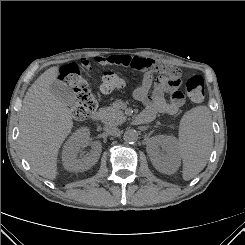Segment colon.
<instances>
[{"label": "colon", "mask_w": 245, "mask_h": 245, "mask_svg": "<svg viewBox=\"0 0 245 245\" xmlns=\"http://www.w3.org/2000/svg\"><path fill=\"white\" fill-rule=\"evenodd\" d=\"M157 71L164 73L168 78L179 80L180 70L175 66L157 63ZM60 80L74 91V102L71 107L72 115L77 120L85 119L97 108V101L92 94L89 84L82 76L80 67L70 63L62 67ZM124 85L123 79L115 72H105L101 78L100 88L109 93ZM185 90L189 99L194 103H200L204 99V81L201 76L190 77L185 84Z\"/></svg>", "instance_id": "1"}]
</instances>
